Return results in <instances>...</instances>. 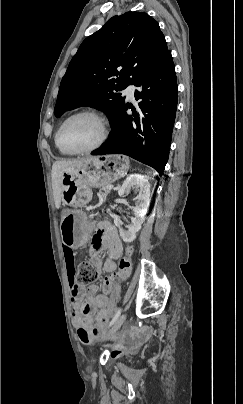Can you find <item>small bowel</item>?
<instances>
[{
	"label": "small bowel",
	"instance_id": "c3829d8e",
	"mask_svg": "<svg viewBox=\"0 0 243 404\" xmlns=\"http://www.w3.org/2000/svg\"><path fill=\"white\" fill-rule=\"evenodd\" d=\"M107 252V258L102 260L100 253ZM123 253V246L116 228L108 221L100 224L93 235L89 255L92 264L99 270L112 272L116 268L115 260ZM66 270L70 281L71 313L77 335L83 344L94 342L105 330L110 318L107 308L109 297L97 294V287L87 290L75 279L74 253L69 247L64 248ZM96 314V315H95Z\"/></svg>",
	"mask_w": 243,
	"mask_h": 404
}]
</instances>
